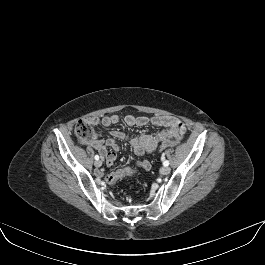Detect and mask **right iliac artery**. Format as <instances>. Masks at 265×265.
Instances as JSON below:
<instances>
[{"instance_id": "obj_1", "label": "right iliac artery", "mask_w": 265, "mask_h": 265, "mask_svg": "<svg viewBox=\"0 0 265 265\" xmlns=\"http://www.w3.org/2000/svg\"><path fill=\"white\" fill-rule=\"evenodd\" d=\"M95 160H99V156L98 155H95Z\"/></svg>"}]
</instances>
